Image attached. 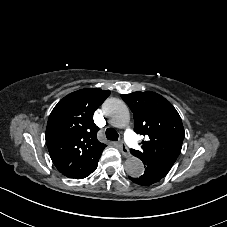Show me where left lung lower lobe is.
Returning <instances> with one entry per match:
<instances>
[{
	"label": "left lung lower lobe",
	"instance_id": "obj_1",
	"mask_svg": "<svg viewBox=\"0 0 227 227\" xmlns=\"http://www.w3.org/2000/svg\"><path fill=\"white\" fill-rule=\"evenodd\" d=\"M131 181L136 184L149 186L153 183L159 182L164 176L155 172L154 170L145 169V173L139 178L129 177Z\"/></svg>",
	"mask_w": 227,
	"mask_h": 227
}]
</instances>
